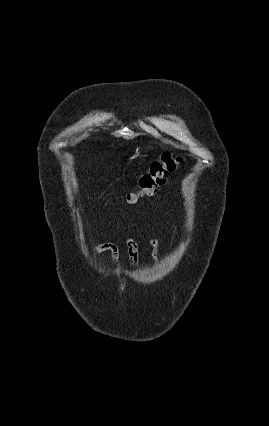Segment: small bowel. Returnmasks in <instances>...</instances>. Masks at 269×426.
Segmentation results:
<instances>
[{"label":"small bowel","mask_w":269,"mask_h":426,"mask_svg":"<svg viewBox=\"0 0 269 426\" xmlns=\"http://www.w3.org/2000/svg\"><path fill=\"white\" fill-rule=\"evenodd\" d=\"M150 245H151V256L154 261V263H158L159 258L161 256V248L159 245V241L157 238L152 237L150 238ZM126 247H127V253H128V262L131 268H135L138 264L139 260V247L135 240L131 237H128L126 239ZM94 251H106L110 254L112 266H115L118 258H119V248L114 243H104L101 246L94 249Z\"/></svg>","instance_id":"obj_1"}]
</instances>
